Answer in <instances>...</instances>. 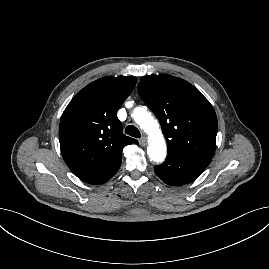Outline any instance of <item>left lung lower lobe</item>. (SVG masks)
<instances>
[{"mask_svg":"<svg viewBox=\"0 0 269 269\" xmlns=\"http://www.w3.org/2000/svg\"><path fill=\"white\" fill-rule=\"evenodd\" d=\"M212 158L180 151H168L166 161L154 167L156 175L166 184L177 186L194 181Z\"/></svg>","mask_w":269,"mask_h":269,"instance_id":"left-lung-lower-lobe-1","label":"left lung lower lobe"}]
</instances>
